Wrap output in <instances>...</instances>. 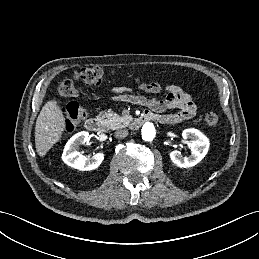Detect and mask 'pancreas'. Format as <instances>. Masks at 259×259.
<instances>
[{
	"mask_svg": "<svg viewBox=\"0 0 259 259\" xmlns=\"http://www.w3.org/2000/svg\"><path fill=\"white\" fill-rule=\"evenodd\" d=\"M102 119L104 124L107 126L108 129L116 130L119 128H125L129 126L131 122L130 117L120 116L113 111H108L103 114Z\"/></svg>",
	"mask_w": 259,
	"mask_h": 259,
	"instance_id": "1",
	"label": "pancreas"
}]
</instances>
